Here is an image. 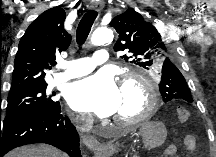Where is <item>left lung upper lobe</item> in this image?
<instances>
[{"label":"left lung upper lobe","mask_w":216,"mask_h":157,"mask_svg":"<svg viewBox=\"0 0 216 157\" xmlns=\"http://www.w3.org/2000/svg\"><path fill=\"white\" fill-rule=\"evenodd\" d=\"M110 25L119 35L114 51H124V60L145 69H155V74H161L159 90L163 101L193 102L191 91L182 75L184 69L178 64L177 49L172 45L175 39H169V35H160L164 27L146 21L134 9L115 16Z\"/></svg>","instance_id":"5c2ea615"}]
</instances>
